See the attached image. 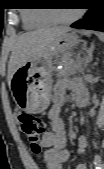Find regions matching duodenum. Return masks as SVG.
Returning a JSON list of instances; mask_svg holds the SVG:
<instances>
[{"instance_id": "410a0bca", "label": "duodenum", "mask_w": 104, "mask_h": 169, "mask_svg": "<svg viewBox=\"0 0 104 169\" xmlns=\"http://www.w3.org/2000/svg\"><path fill=\"white\" fill-rule=\"evenodd\" d=\"M76 104L79 108H86L88 105L87 96H80L76 99Z\"/></svg>"}]
</instances>
